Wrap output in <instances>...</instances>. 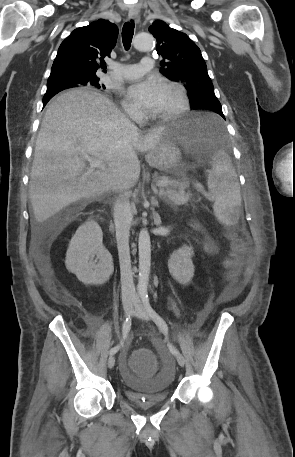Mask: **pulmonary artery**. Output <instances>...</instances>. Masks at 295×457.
<instances>
[{"mask_svg": "<svg viewBox=\"0 0 295 457\" xmlns=\"http://www.w3.org/2000/svg\"><path fill=\"white\" fill-rule=\"evenodd\" d=\"M153 67V58L150 56H145L142 58L139 64L120 65L112 74L124 80H131L152 70Z\"/></svg>", "mask_w": 295, "mask_h": 457, "instance_id": "e3ab8cb5", "label": "pulmonary artery"}]
</instances>
